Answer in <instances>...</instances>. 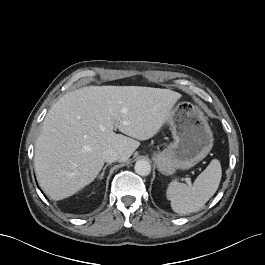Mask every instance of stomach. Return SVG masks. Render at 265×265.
<instances>
[{
    "instance_id": "0dacf381",
    "label": "stomach",
    "mask_w": 265,
    "mask_h": 265,
    "mask_svg": "<svg viewBox=\"0 0 265 265\" xmlns=\"http://www.w3.org/2000/svg\"><path fill=\"white\" fill-rule=\"evenodd\" d=\"M167 124L173 142L153 155L158 171L172 175L178 169H190L203 160L213 146V133L204 113L194 104L183 101L170 111Z\"/></svg>"
}]
</instances>
